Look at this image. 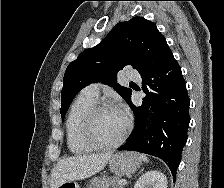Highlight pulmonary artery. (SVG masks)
<instances>
[{"label": "pulmonary artery", "mask_w": 224, "mask_h": 188, "mask_svg": "<svg viewBox=\"0 0 224 188\" xmlns=\"http://www.w3.org/2000/svg\"><path fill=\"white\" fill-rule=\"evenodd\" d=\"M125 76H126V78L131 79V80H139L140 79L139 72L132 68H129L126 70ZM83 92L95 99H98L99 93H100V84L99 83H91L84 88Z\"/></svg>", "instance_id": "pulmonary-artery-1"}]
</instances>
